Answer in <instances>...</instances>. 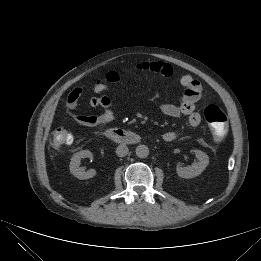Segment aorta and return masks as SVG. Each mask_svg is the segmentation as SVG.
<instances>
[{
    "label": "aorta",
    "mask_w": 261,
    "mask_h": 261,
    "mask_svg": "<svg viewBox=\"0 0 261 261\" xmlns=\"http://www.w3.org/2000/svg\"><path fill=\"white\" fill-rule=\"evenodd\" d=\"M136 155L139 158H146L149 155V148L146 145H138L136 147Z\"/></svg>",
    "instance_id": "762f6f07"
}]
</instances>
